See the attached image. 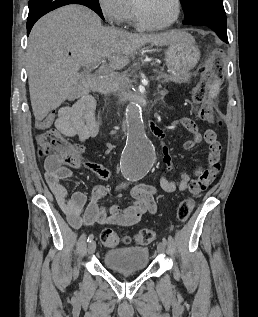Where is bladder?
<instances>
[{
    "mask_svg": "<svg viewBox=\"0 0 258 317\" xmlns=\"http://www.w3.org/2000/svg\"><path fill=\"white\" fill-rule=\"evenodd\" d=\"M103 262L116 271H142L149 263V249L146 246H131L108 250Z\"/></svg>",
    "mask_w": 258,
    "mask_h": 317,
    "instance_id": "31cf9c89",
    "label": "bladder"
}]
</instances>
